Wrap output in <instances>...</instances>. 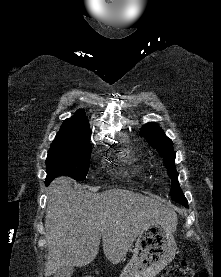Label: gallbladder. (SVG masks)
<instances>
[{
	"label": "gallbladder",
	"instance_id": "bac80fb5",
	"mask_svg": "<svg viewBox=\"0 0 221 277\" xmlns=\"http://www.w3.org/2000/svg\"><path fill=\"white\" fill-rule=\"evenodd\" d=\"M73 271V267H62L54 273V277H71Z\"/></svg>",
	"mask_w": 221,
	"mask_h": 277
}]
</instances>
